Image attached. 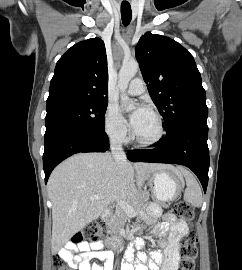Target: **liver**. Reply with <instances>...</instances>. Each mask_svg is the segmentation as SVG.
Returning <instances> with one entry per match:
<instances>
[{
    "mask_svg": "<svg viewBox=\"0 0 242 270\" xmlns=\"http://www.w3.org/2000/svg\"><path fill=\"white\" fill-rule=\"evenodd\" d=\"M173 166L131 164L109 153H79L58 165L47 189L52 203V251L57 252L73 235L96 220L110 203L133 200L151 173ZM91 195H101L90 200Z\"/></svg>",
    "mask_w": 242,
    "mask_h": 270,
    "instance_id": "1",
    "label": "liver"
}]
</instances>
